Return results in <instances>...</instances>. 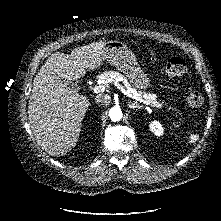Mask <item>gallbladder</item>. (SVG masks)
<instances>
[{"label":"gallbladder","mask_w":221,"mask_h":221,"mask_svg":"<svg viewBox=\"0 0 221 221\" xmlns=\"http://www.w3.org/2000/svg\"><path fill=\"white\" fill-rule=\"evenodd\" d=\"M63 83H65L68 86L73 87L74 85L72 84V82L66 81V80H61Z\"/></svg>","instance_id":"bac80fb5"}]
</instances>
